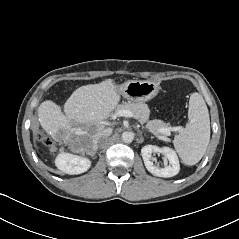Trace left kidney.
Masks as SVG:
<instances>
[{
  "label": "left kidney",
  "mask_w": 239,
  "mask_h": 239,
  "mask_svg": "<svg viewBox=\"0 0 239 239\" xmlns=\"http://www.w3.org/2000/svg\"><path fill=\"white\" fill-rule=\"evenodd\" d=\"M153 153L162 154L168 159L169 165H166L163 168L155 166L153 164ZM141 155L144 160L145 167L155 176L168 178L179 173L180 165L177 154L169 147L160 148L154 145H146L141 149Z\"/></svg>",
  "instance_id": "obj_1"
}]
</instances>
